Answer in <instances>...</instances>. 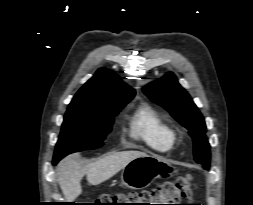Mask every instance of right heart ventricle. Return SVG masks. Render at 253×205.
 <instances>
[{
    "label": "right heart ventricle",
    "instance_id": "obj_1",
    "mask_svg": "<svg viewBox=\"0 0 253 205\" xmlns=\"http://www.w3.org/2000/svg\"><path fill=\"white\" fill-rule=\"evenodd\" d=\"M129 135L157 151L171 149L175 133L163 116L149 105L135 111L129 120Z\"/></svg>",
    "mask_w": 253,
    "mask_h": 205
}]
</instances>
